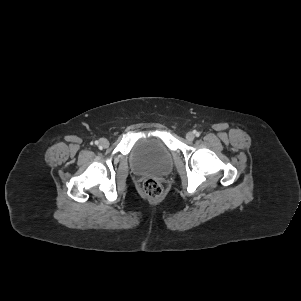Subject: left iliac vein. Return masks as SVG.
<instances>
[{"instance_id":"4c4485c4","label":"left iliac vein","mask_w":301,"mask_h":301,"mask_svg":"<svg viewBox=\"0 0 301 301\" xmlns=\"http://www.w3.org/2000/svg\"><path fill=\"white\" fill-rule=\"evenodd\" d=\"M194 134L192 133V132H188L187 134H186V139L188 140V141H193L194 140Z\"/></svg>"}]
</instances>
